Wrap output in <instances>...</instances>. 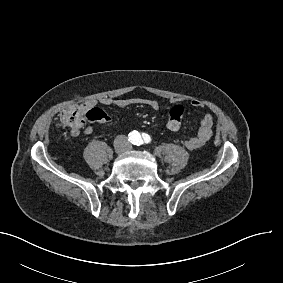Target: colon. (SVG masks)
<instances>
[{"instance_id":"colon-1","label":"colon","mask_w":283,"mask_h":283,"mask_svg":"<svg viewBox=\"0 0 283 283\" xmlns=\"http://www.w3.org/2000/svg\"><path fill=\"white\" fill-rule=\"evenodd\" d=\"M187 115V108L181 104H175L173 111L168 118L167 128L176 131L180 127V120ZM57 126L67 129L71 135H76L82 131L88 123L85 120V114L77 111V107H69L63 110L56 118Z\"/></svg>"}]
</instances>
